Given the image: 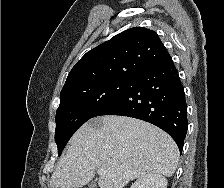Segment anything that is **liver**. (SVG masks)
<instances>
[{
	"mask_svg": "<svg viewBox=\"0 0 224 188\" xmlns=\"http://www.w3.org/2000/svg\"><path fill=\"white\" fill-rule=\"evenodd\" d=\"M174 140L150 123L123 116H102L73 135L65 156L51 176V188L84 187L100 175V188H123L148 174L171 177L178 166Z\"/></svg>",
	"mask_w": 224,
	"mask_h": 188,
	"instance_id": "obj_1",
	"label": "liver"
}]
</instances>
